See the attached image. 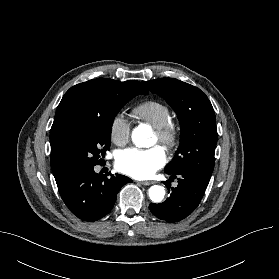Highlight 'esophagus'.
<instances>
[{"label":"esophagus","mask_w":279,"mask_h":279,"mask_svg":"<svg viewBox=\"0 0 279 279\" xmlns=\"http://www.w3.org/2000/svg\"><path fill=\"white\" fill-rule=\"evenodd\" d=\"M140 184L148 186V185L154 184V182L153 181H142V182H140Z\"/></svg>","instance_id":"1"}]
</instances>
